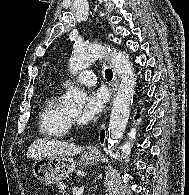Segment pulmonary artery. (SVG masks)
I'll list each match as a JSON object with an SVG mask.
<instances>
[{
    "label": "pulmonary artery",
    "instance_id": "pulmonary-artery-1",
    "mask_svg": "<svg viewBox=\"0 0 189 195\" xmlns=\"http://www.w3.org/2000/svg\"><path fill=\"white\" fill-rule=\"evenodd\" d=\"M75 80L84 86H92L97 82V78L94 73L88 71H81L76 77ZM72 81L70 79H66L63 82L64 87H68Z\"/></svg>",
    "mask_w": 189,
    "mask_h": 195
}]
</instances>
